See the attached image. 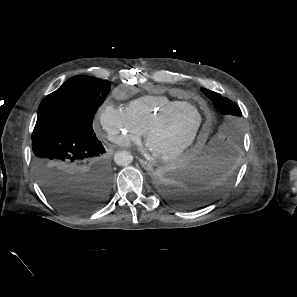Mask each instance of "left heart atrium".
Returning a JSON list of instances; mask_svg holds the SVG:
<instances>
[{"mask_svg": "<svg viewBox=\"0 0 297 297\" xmlns=\"http://www.w3.org/2000/svg\"><path fill=\"white\" fill-rule=\"evenodd\" d=\"M147 147H148V149H149L150 151H152L151 148L149 147V145H148Z\"/></svg>", "mask_w": 297, "mask_h": 297, "instance_id": "1", "label": "left heart atrium"}]
</instances>
